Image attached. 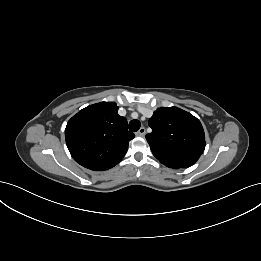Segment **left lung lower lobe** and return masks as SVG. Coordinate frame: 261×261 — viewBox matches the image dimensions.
<instances>
[{
	"label": "left lung lower lobe",
	"instance_id": "left-lung-lower-lobe-1",
	"mask_svg": "<svg viewBox=\"0 0 261 261\" xmlns=\"http://www.w3.org/2000/svg\"><path fill=\"white\" fill-rule=\"evenodd\" d=\"M167 167H170V168H174V169H178L177 167H173V166H168V165H166Z\"/></svg>",
	"mask_w": 261,
	"mask_h": 261
}]
</instances>
